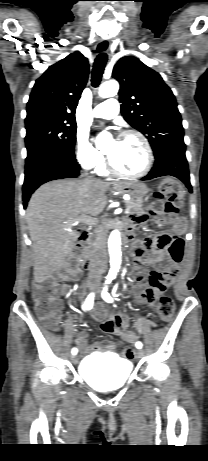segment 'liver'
<instances>
[{
  "label": "liver",
  "instance_id": "liver-1",
  "mask_svg": "<svg viewBox=\"0 0 208 461\" xmlns=\"http://www.w3.org/2000/svg\"><path fill=\"white\" fill-rule=\"evenodd\" d=\"M111 185L118 186L97 180L64 179L48 182L34 192L26 219L33 242L36 282L63 266L79 237L74 224L103 211Z\"/></svg>",
  "mask_w": 208,
  "mask_h": 461
}]
</instances>
